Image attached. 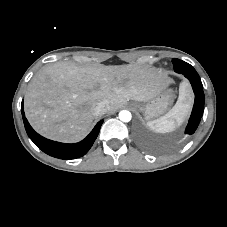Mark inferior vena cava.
I'll return each instance as SVG.
<instances>
[{
    "instance_id": "obj_1",
    "label": "inferior vena cava",
    "mask_w": 227,
    "mask_h": 227,
    "mask_svg": "<svg viewBox=\"0 0 227 227\" xmlns=\"http://www.w3.org/2000/svg\"><path fill=\"white\" fill-rule=\"evenodd\" d=\"M108 102L106 100L98 101L93 106V115L99 116L105 114L108 110Z\"/></svg>"
}]
</instances>
